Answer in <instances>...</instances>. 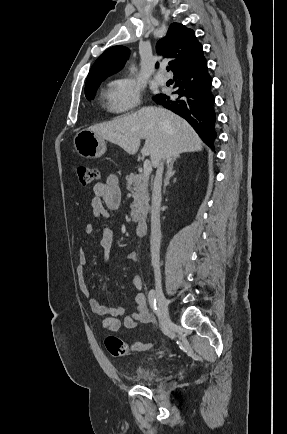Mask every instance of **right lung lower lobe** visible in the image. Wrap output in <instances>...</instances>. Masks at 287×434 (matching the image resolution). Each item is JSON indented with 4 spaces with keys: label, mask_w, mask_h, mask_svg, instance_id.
<instances>
[{
    "label": "right lung lower lobe",
    "mask_w": 287,
    "mask_h": 434,
    "mask_svg": "<svg viewBox=\"0 0 287 434\" xmlns=\"http://www.w3.org/2000/svg\"><path fill=\"white\" fill-rule=\"evenodd\" d=\"M177 97L156 95L153 100L186 119L202 140L213 148L216 138L213 108L215 98L211 92L212 78L208 74L203 51L192 62L174 74Z\"/></svg>",
    "instance_id": "right-lung-lower-lobe-1"
}]
</instances>
